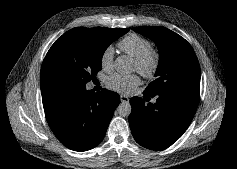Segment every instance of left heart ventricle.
<instances>
[{
    "label": "left heart ventricle",
    "mask_w": 237,
    "mask_h": 169,
    "mask_svg": "<svg viewBox=\"0 0 237 169\" xmlns=\"http://www.w3.org/2000/svg\"><path fill=\"white\" fill-rule=\"evenodd\" d=\"M137 69V65H136V63L134 62V64H133V70H136Z\"/></svg>",
    "instance_id": "1"
}]
</instances>
